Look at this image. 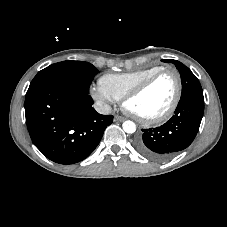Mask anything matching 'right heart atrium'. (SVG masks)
Returning <instances> with one entry per match:
<instances>
[{"mask_svg":"<svg viewBox=\"0 0 227 227\" xmlns=\"http://www.w3.org/2000/svg\"><path fill=\"white\" fill-rule=\"evenodd\" d=\"M91 96L100 105H109L113 102V98L104 91L100 86L91 89Z\"/></svg>","mask_w":227,"mask_h":227,"instance_id":"1","label":"right heart atrium"}]
</instances>
